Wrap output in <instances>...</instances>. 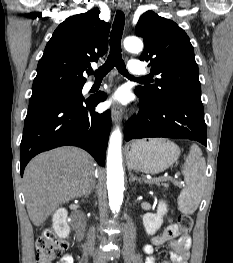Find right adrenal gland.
<instances>
[{
	"instance_id": "obj_1",
	"label": "right adrenal gland",
	"mask_w": 233,
	"mask_h": 263,
	"mask_svg": "<svg viewBox=\"0 0 233 263\" xmlns=\"http://www.w3.org/2000/svg\"><path fill=\"white\" fill-rule=\"evenodd\" d=\"M95 188V180L92 182L90 188L88 189L86 193V197L90 195L91 191Z\"/></svg>"
}]
</instances>
